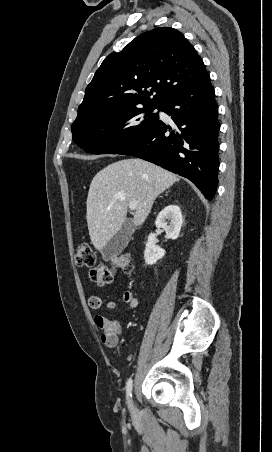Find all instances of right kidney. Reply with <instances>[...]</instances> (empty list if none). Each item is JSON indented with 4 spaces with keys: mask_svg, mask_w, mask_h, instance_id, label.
<instances>
[{
    "mask_svg": "<svg viewBox=\"0 0 272 452\" xmlns=\"http://www.w3.org/2000/svg\"><path fill=\"white\" fill-rule=\"evenodd\" d=\"M183 223L181 209L177 205L166 206L157 216L155 225L158 229H163L166 235L175 240L180 234ZM156 236L150 233L147 239L144 259L148 265L155 264L159 259L165 255V250L156 245Z\"/></svg>",
    "mask_w": 272,
    "mask_h": 452,
    "instance_id": "right-kidney-1",
    "label": "right kidney"
}]
</instances>
